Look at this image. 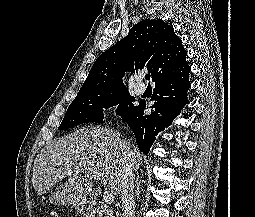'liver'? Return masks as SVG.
I'll return each mask as SVG.
<instances>
[{
    "label": "liver",
    "instance_id": "6515ba94",
    "mask_svg": "<svg viewBox=\"0 0 255 217\" xmlns=\"http://www.w3.org/2000/svg\"><path fill=\"white\" fill-rule=\"evenodd\" d=\"M126 154L133 170L142 160L139 150L129 141L121 139L114 129L88 126L46 145L34 161L32 185L38 195H44L65 176L68 180L49 196L55 205L85 202L92 190L93 174L101 176L106 189L115 195L121 192V160ZM72 175H67L68 171Z\"/></svg>",
    "mask_w": 255,
    "mask_h": 217
}]
</instances>
